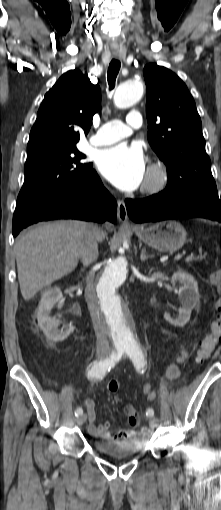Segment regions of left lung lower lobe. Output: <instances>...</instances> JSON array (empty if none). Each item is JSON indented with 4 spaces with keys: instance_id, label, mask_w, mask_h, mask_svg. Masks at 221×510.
I'll return each mask as SVG.
<instances>
[{
    "instance_id": "obj_1",
    "label": "left lung lower lobe",
    "mask_w": 221,
    "mask_h": 510,
    "mask_svg": "<svg viewBox=\"0 0 221 510\" xmlns=\"http://www.w3.org/2000/svg\"><path fill=\"white\" fill-rule=\"evenodd\" d=\"M130 219L137 223L183 217H201L221 222V201L217 196H164L161 193L145 199H127Z\"/></svg>"
}]
</instances>
